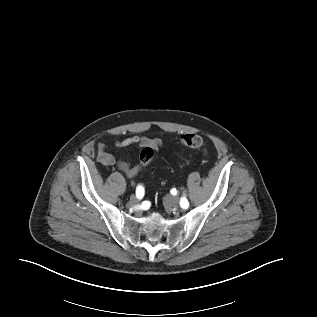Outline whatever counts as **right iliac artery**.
I'll return each mask as SVG.
<instances>
[{
    "label": "right iliac artery",
    "instance_id": "right-iliac-artery-1",
    "mask_svg": "<svg viewBox=\"0 0 317 317\" xmlns=\"http://www.w3.org/2000/svg\"><path fill=\"white\" fill-rule=\"evenodd\" d=\"M136 196L137 198L141 199L144 196V187L139 185L136 188Z\"/></svg>",
    "mask_w": 317,
    "mask_h": 317
}]
</instances>
